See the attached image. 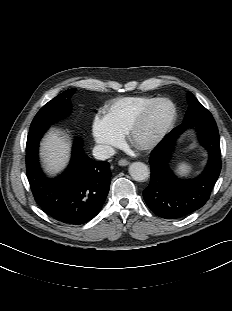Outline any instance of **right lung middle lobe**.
<instances>
[{"label":"right lung middle lobe","mask_w":232,"mask_h":311,"mask_svg":"<svg viewBox=\"0 0 232 311\" xmlns=\"http://www.w3.org/2000/svg\"><path fill=\"white\" fill-rule=\"evenodd\" d=\"M75 89H68L44 105L33 119L30 131L49 127L50 124L66 117L71 110L70 98Z\"/></svg>","instance_id":"dd1d6c3e"}]
</instances>
